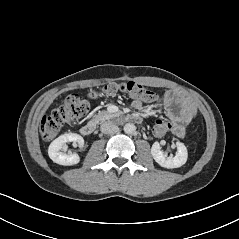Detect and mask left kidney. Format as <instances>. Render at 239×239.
<instances>
[{"label": "left kidney", "mask_w": 239, "mask_h": 239, "mask_svg": "<svg viewBox=\"0 0 239 239\" xmlns=\"http://www.w3.org/2000/svg\"><path fill=\"white\" fill-rule=\"evenodd\" d=\"M177 154L173 156H167L162 150L158 142H155L151 148V154L154 160L162 167L171 169L178 168L184 165L187 161L188 153L187 148L181 142H176Z\"/></svg>", "instance_id": "obj_1"}]
</instances>
